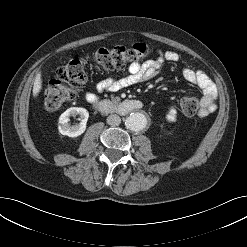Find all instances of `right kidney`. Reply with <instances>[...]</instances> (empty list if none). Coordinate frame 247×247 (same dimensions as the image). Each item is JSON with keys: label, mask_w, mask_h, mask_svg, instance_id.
Listing matches in <instances>:
<instances>
[{"label": "right kidney", "mask_w": 247, "mask_h": 247, "mask_svg": "<svg viewBox=\"0 0 247 247\" xmlns=\"http://www.w3.org/2000/svg\"><path fill=\"white\" fill-rule=\"evenodd\" d=\"M79 115V124L70 125V116ZM89 118V113L85 108L81 107H71L62 113L59 117V132L62 135H67L69 137H77L84 133L86 130L87 120Z\"/></svg>", "instance_id": "ca27d5eb"}]
</instances>
